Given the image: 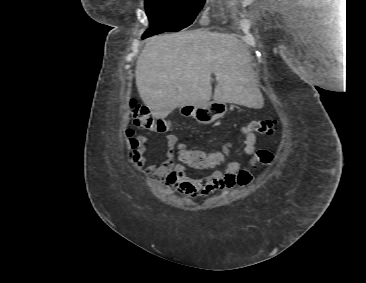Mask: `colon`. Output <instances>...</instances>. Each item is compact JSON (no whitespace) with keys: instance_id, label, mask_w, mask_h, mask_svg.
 I'll use <instances>...</instances> for the list:
<instances>
[{"instance_id":"1","label":"colon","mask_w":366,"mask_h":283,"mask_svg":"<svg viewBox=\"0 0 366 283\" xmlns=\"http://www.w3.org/2000/svg\"><path fill=\"white\" fill-rule=\"evenodd\" d=\"M130 118L135 126L148 131L163 132L168 127L167 122L154 118L146 106L136 102L130 103ZM248 127L251 132L270 136L275 132L276 120L271 118L253 119ZM180 155L184 162L194 168L200 169L211 163L210 153L208 154L200 151L191 153L183 150ZM273 160L274 155L270 151L264 149L256 151L250 165L239 172L237 177L238 184L241 186L249 185L252 181V167L256 164L270 165Z\"/></svg>"}]
</instances>
